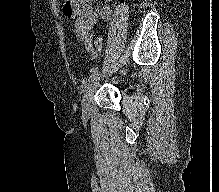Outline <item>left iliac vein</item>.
<instances>
[{
    "label": "left iliac vein",
    "instance_id": "left-iliac-vein-1",
    "mask_svg": "<svg viewBox=\"0 0 219 192\" xmlns=\"http://www.w3.org/2000/svg\"><path fill=\"white\" fill-rule=\"evenodd\" d=\"M100 80V76H98L92 83L90 88L86 91V93L84 94L83 98H82V114L84 117L89 116L90 113V104L93 100V96H94V91H95V86L98 83V81Z\"/></svg>",
    "mask_w": 219,
    "mask_h": 192
}]
</instances>
